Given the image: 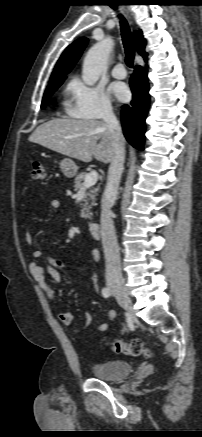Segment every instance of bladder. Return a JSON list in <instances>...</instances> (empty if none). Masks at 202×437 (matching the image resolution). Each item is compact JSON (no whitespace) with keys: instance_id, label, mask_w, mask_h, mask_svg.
<instances>
[{"instance_id":"bladder-1","label":"bladder","mask_w":202,"mask_h":437,"mask_svg":"<svg viewBox=\"0 0 202 437\" xmlns=\"http://www.w3.org/2000/svg\"><path fill=\"white\" fill-rule=\"evenodd\" d=\"M133 371V366L124 360H109L95 363L92 366L93 375L101 380L119 381L126 379Z\"/></svg>"}]
</instances>
